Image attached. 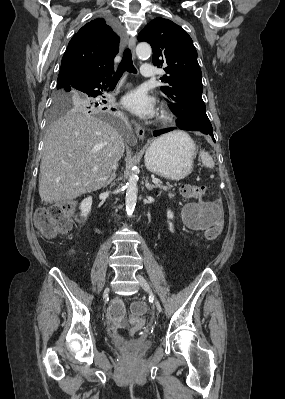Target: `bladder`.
I'll use <instances>...</instances> for the list:
<instances>
[{
    "instance_id": "bladder-1",
    "label": "bladder",
    "mask_w": 285,
    "mask_h": 399,
    "mask_svg": "<svg viewBox=\"0 0 285 399\" xmlns=\"http://www.w3.org/2000/svg\"><path fill=\"white\" fill-rule=\"evenodd\" d=\"M151 344V341L139 342L134 344L125 343L122 346L117 345L115 350L125 355L137 357L144 355L150 349Z\"/></svg>"
}]
</instances>
